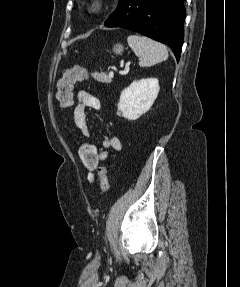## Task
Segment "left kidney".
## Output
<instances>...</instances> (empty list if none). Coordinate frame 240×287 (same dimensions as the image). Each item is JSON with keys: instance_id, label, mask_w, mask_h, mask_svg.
I'll return each mask as SVG.
<instances>
[{"instance_id": "5707ae66", "label": "left kidney", "mask_w": 240, "mask_h": 287, "mask_svg": "<svg viewBox=\"0 0 240 287\" xmlns=\"http://www.w3.org/2000/svg\"><path fill=\"white\" fill-rule=\"evenodd\" d=\"M159 90L156 78L134 81L121 92L118 115L128 120H137L152 107Z\"/></svg>"}]
</instances>
